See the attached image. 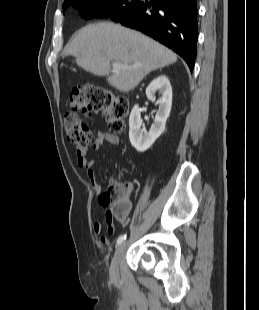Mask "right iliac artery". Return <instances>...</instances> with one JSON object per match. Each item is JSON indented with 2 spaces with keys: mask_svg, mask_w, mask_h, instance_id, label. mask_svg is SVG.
Listing matches in <instances>:
<instances>
[{
  "mask_svg": "<svg viewBox=\"0 0 259 310\" xmlns=\"http://www.w3.org/2000/svg\"><path fill=\"white\" fill-rule=\"evenodd\" d=\"M124 240H126V234L119 236V238L117 239V245L119 246L120 244H122Z\"/></svg>",
  "mask_w": 259,
  "mask_h": 310,
  "instance_id": "82829eb1",
  "label": "right iliac artery"
}]
</instances>
